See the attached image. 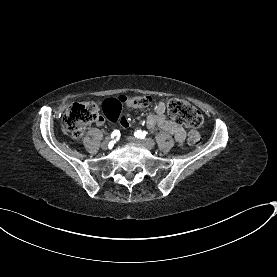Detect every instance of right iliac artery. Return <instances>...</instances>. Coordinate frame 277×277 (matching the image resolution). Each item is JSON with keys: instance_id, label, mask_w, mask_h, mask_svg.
Instances as JSON below:
<instances>
[{"instance_id": "1", "label": "right iliac artery", "mask_w": 277, "mask_h": 277, "mask_svg": "<svg viewBox=\"0 0 277 277\" xmlns=\"http://www.w3.org/2000/svg\"><path fill=\"white\" fill-rule=\"evenodd\" d=\"M120 136V131L119 130H114L111 134V138L113 137H119Z\"/></svg>"}]
</instances>
